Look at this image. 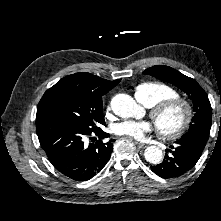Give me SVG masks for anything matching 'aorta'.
Listing matches in <instances>:
<instances>
[{
	"label": "aorta",
	"mask_w": 221,
	"mask_h": 221,
	"mask_svg": "<svg viewBox=\"0 0 221 221\" xmlns=\"http://www.w3.org/2000/svg\"><path fill=\"white\" fill-rule=\"evenodd\" d=\"M111 107L113 112L122 118L134 117L141 110L135 100L127 94H118L113 97ZM144 157L149 163L159 164L163 158L162 150L157 146H148Z\"/></svg>",
	"instance_id": "1"
}]
</instances>
